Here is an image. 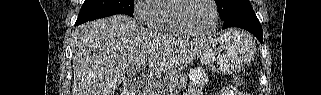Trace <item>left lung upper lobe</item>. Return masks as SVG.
Instances as JSON below:
<instances>
[{"instance_id": "5c2ea615", "label": "left lung upper lobe", "mask_w": 321, "mask_h": 95, "mask_svg": "<svg viewBox=\"0 0 321 95\" xmlns=\"http://www.w3.org/2000/svg\"><path fill=\"white\" fill-rule=\"evenodd\" d=\"M215 3L222 20L238 9L251 6L249 0H215Z\"/></svg>"}]
</instances>
